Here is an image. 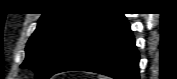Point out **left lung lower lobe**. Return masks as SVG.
I'll use <instances>...</instances> for the list:
<instances>
[{
	"instance_id": "1",
	"label": "left lung lower lobe",
	"mask_w": 177,
	"mask_h": 79,
	"mask_svg": "<svg viewBox=\"0 0 177 79\" xmlns=\"http://www.w3.org/2000/svg\"><path fill=\"white\" fill-rule=\"evenodd\" d=\"M139 54L123 14H107L55 72L82 70L115 79H139Z\"/></svg>"
}]
</instances>
